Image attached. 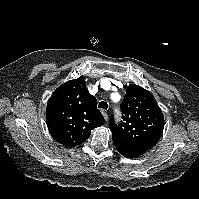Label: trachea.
Returning <instances> with one entry per match:
<instances>
[{"label":"trachea","instance_id":"obj_1","mask_svg":"<svg viewBox=\"0 0 199 199\" xmlns=\"http://www.w3.org/2000/svg\"><path fill=\"white\" fill-rule=\"evenodd\" d=\"M98 108H102L104 110H106L108 108V104L104 101H101L99 104H98Z\"/></svg>","mask_w":199,"mask_h":199}]
</instances>
